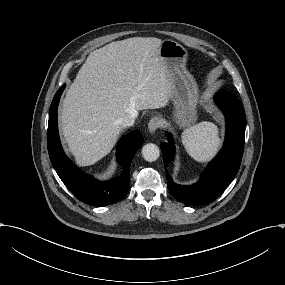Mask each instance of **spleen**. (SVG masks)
Returning <instances> with one entry per match:
<instances>
[{
    "mask_svg": "<svg viewBox=\"0 0 285 285\" xmlns=\"http://www.w3.org/2000/svg\"><path fill=\"white\" fill-rule=\"evenodd\" d=\"M219 143L216 126L207 121L199 122L185 130L183 144L192 157L203 161L211 157Z\"/></svg>",
    "mask_w": 285,
    "mask_h": 285,
    "instance_id": "spleen-1",
    "label": "spleen"
}]
</instances>
